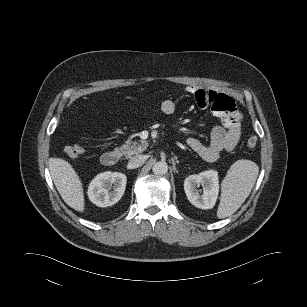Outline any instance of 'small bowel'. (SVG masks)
I'll use <instances>...</instances> for the list:
<instances>
[{
	"label": "small bowel",
	"mask_w": 307,
	"mask_h": 307,
	"mask_svg": "<svg viewBox=\"0 0 307 307\" xmlns=\"http://www.w3.org/2000/svg\"><path fill=\"white\" fill-rule=\"evenodd\" d=\"M186 91L194 94L198 105L209 108L221 119V125L213 129L209 144L196 138L187 140L188 147L206 161H216L222 152L233 150L242 136V114L235 109V101L228 95L214 91L200 90L196 86H188ZM172 100H164L161 110L165 114L175 111Z\"/></svg>",
	"instance_id": "small-bowel-1"
}]
</instances>
